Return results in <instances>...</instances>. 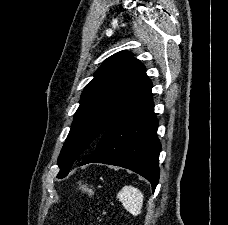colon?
<instances>
[{
  "mask_svg": "<svg viewBox=\"0 0 228 225\" xmlns=\"http://www.w3.org/2000/svg\"><path fill=\"white\" fill-rule=\"evenodd\" d=\"M78 188L83 194L88 196H93L95 193L94 187L86 182H80Z\"/></svg>",
  "mask_w": 228,
  "mask_h": 225,
  "instance_id": "colon-1",
  "label": "colon"
}]
</instances>
